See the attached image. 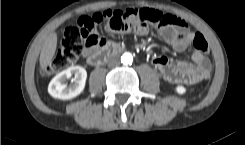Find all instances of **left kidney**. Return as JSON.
I'll return each instance as SVG.
<instances>
[{"label":"left kidney","instance_id":"5707ae66","mask_svg":"<svg viewBox=\"0 0 245 145\" xmlns=\"http://www.w3.org/2000/svg\"><path fill=\"white\" fill-rule=\"evenodd\" d=\"M176 92L180 95L184 94L186 92V88L182 85H179L175 88Z\"/></svg>","mask_w":245,"mask_h":145}]
</instances>
